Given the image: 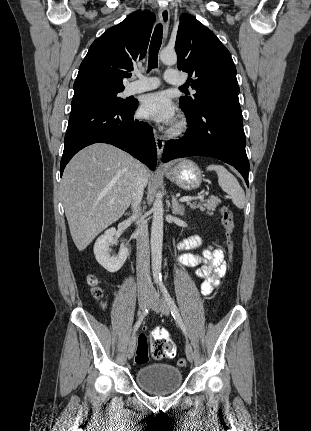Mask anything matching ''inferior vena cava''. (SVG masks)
<instances>
[{"instance_id": "obj_1", "label": "inferior vena cava", "mask_w": 311, "mask_h": 431, "mask_svg": "<svg viewBox=\"0 0 311 431\" xmlns=\"http://www.w3.org/2000/svg\"><path fill=\"white\" fill-rule=\"evenodd\" d=\"M145 184L141 180L139 174L137 176L134 192L132 194V219L139 221L136 231L137 239V293L146 295L152 287L150 277V249L148 237V225L145 219H140L142 216L141 202L144 194Z\"/></svg>"}]
</instances>
